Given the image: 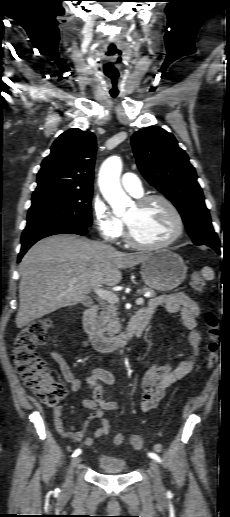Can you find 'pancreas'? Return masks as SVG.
Here are the masks:
<instances>
[{"mask_svg":"<svg viewBox=\"0 0 230 517\" xmlns=\"http://www.w3.org/2000/svg\"><path fill=\"white\" fill-rule=\"evenodd\" d=\"M138 294L149 293V297L153 298L156 296V293L153 289L148 287H143L137 290ZM101 312L97 317L96 325L103 332H108L110 336L115 333H118L121 329L120 321L117 317V307L112 303L102 302L101 304Z\"/></svg>","mask_w":230,"mask_h":517,"instance_id":"cf45deb5","label":"pancreas"}]
</instances>
